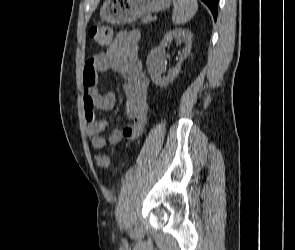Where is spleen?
<instances>
[{
  "mask_svg": "<svg viewBox=\"0 0 295 250\" xmlns=\"http://www.w3.org/2000/svg\"><path fill=\"white\" fill-rule=\"evenodd\" d=\"M198 9L197 0H176L172 21L175 25L188 22Z\"/></svg>",
  "mask_w": 295,
  "mask_h": 250,
  "instance_id": "obj_1",
  "label": "spleen"
}]
</instances>
